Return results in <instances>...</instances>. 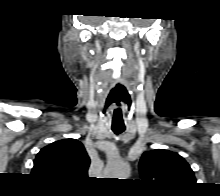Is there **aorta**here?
<instances>
[{"mask_svg": "<svg viewBox=\"0 0 220 196\" xmlns=\"http://www.w3.org/2000/svg\"><path fill=\"white\" fill-rule=\"evenodd\" d=\"M130 174V166L122 160L110 161L105 170L107 178L127 179Z\"/></svg>", "mask_w": 220, "mask_h": 196, "instance_id": "obj_1", "label": "aorta"}]
</instances>
